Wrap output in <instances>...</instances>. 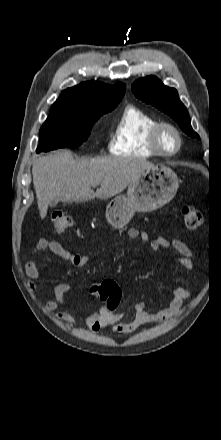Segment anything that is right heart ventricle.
Here are the masks:
<instances>
[{"label": "right heart ventricle", "mask_w": 221, "mask_h": 440, "mask_svg": "<svg viewBox=\"0 0 221 440\" xmlns=\"http://www.w3.org/2000/svg\"><path fill=\"white\" fill-rule=\"evenodd\" d=\"M157 119L134 105H127L118 118L109 140V151L116 156L150 158V130Z\"/></svg>", "instance_id": "1"}]
</instances>
